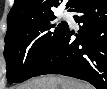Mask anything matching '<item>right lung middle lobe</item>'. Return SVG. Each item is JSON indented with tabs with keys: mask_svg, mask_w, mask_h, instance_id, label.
Here are the masks:
<instances>
[{
	"mask_svg": "<svg viewBox=\"0 0 107 89\" xmlns=\"http://www.w3.org/2000/svg\"><path fill=\"white\" fill-rule=\"evenodd\" d=\"M67 27L54 15L9 26L4 49L8 82L20 83L33 77Z\"/></svg>",
	"mask_w": 107,
	"mask_h": 89,
	"instance_id": "right-lung-middle-lobe-1",
	"label": "right lung middle lobe"
}]
</instances>
